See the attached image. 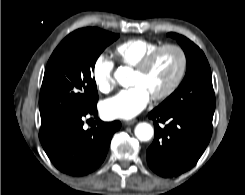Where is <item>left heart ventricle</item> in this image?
Listing matches in <instances>:
<instances>
[{
    "instance_id": "left-heart-ventricle-1",
    "label": "left heart ventricle",
    "mask_w": 245,
    "mask_h": 195,
    "mask_svg": "<svg viewBox=\"0 0 245 195\" xmlns=\"http://www.w3.org/2000/svg\"><path fill=\"white\" fill-rule=\"evenodd\" d=\"M179 64V55L175 50H164L146 72H134L132 85L143 86L151 96L158 94L172 83L177 75Z\"/></svg>"
}]
</instances>
